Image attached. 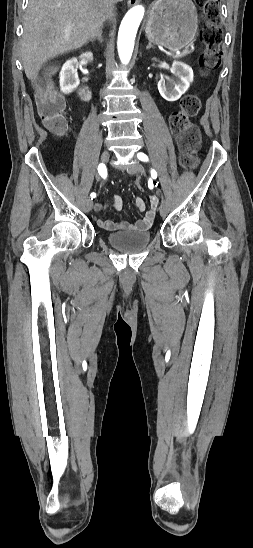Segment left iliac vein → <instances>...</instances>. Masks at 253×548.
Wrapping results in <instances>:
<instances>
[{
    "label": "left iliac vein",
    "mask_w": 253,
    "mask_h": 548,
    "mask_svg": "<svg viewBox=\"0 0 253 548\" xmlns=\"http://www.w3.org/2000/svg\"><path fill=\"white\" fill-rule=\"evenodd\" d=\"M128 171L130 173L137 174V173H143L144 169H143V166L138 161H134V163L128 167ZM159 212L161 216H165L167 213V203L163 197L159 207Z\"/></svg>",
    "instance_id": "left-iliac-vein-1"
}]
</instances>
